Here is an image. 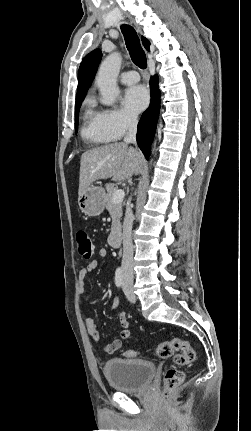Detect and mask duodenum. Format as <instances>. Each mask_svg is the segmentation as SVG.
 <instances>
[{
  "label": "duodenum",
  "instance_id": "1",
  "mask_svg": "<svg viewBox=\"0 0 251 431\" xmlns=\"http://www.w3.org/2000/svg\"><path fill=\"white\" fill-rule=\"evenodd\" d=\"M122 242V231L119 228L114 229L109 236V243L112 247H119Z\"/></svg>",
  "mask_w": 251,
  "mask_h": 431
}]
</instances>
